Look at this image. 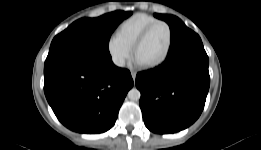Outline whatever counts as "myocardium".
Returning a JSON list of instances; mask_svg holds the SVG:
<instances>
[{"instance_id":"f54148a6","label":"myocardium","mask_w":261,"mask_h":150,"mask_svg":"<svg viewBox=\"0 0 261 150\" xmlns=\"http://www.w3.org/2000/svg\"><path fill=\"white\" fill-rule=\"evenodd\" d=\"M158 25H164L168 30V37H169L168 47H167V50H166L164 56L160 60H158L152 64H149V65H144V67L148 68V69L158 68V67L162 66L168 60V58L171 54V51H172V47H173V31H172L171 26L166 21H162V20H157V21L149 24L137 37V39L134 42L133 47H132L133 55L136 57L138 48L146 40V38L148 37L150 32Z\"/></svg>"}]
</instances>
